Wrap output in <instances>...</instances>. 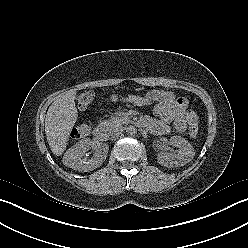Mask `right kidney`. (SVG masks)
Returning a JSON list of instances; mask_svg holds the SVG:
<instances>
[{
	"mask_svg": "<svg viewBox=\"0 0 248 248\" xmlns=\"http://www.w3.org/2000/svg\"><path fill=\"white\" fill-rule=\"evenodd\" d=\"M90 148L95 150L93 157L91 159L83 157ZM108 150L107 144L100 145L90 139H83L66 151L62 161L64 165L74 170L92 171L102 165L107 157Z\"/></svg>",
	"mask_w": 248,
	"mask_h": 248,
	"instance_id": "obj_1",
	"label": "right kidney"
}]
</instances>
